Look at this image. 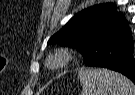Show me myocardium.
<instances>
[{"label":"myocardium","mask_w":135,"mask_h":95,"mask_svg":"<svg viewBox=\"0 0 135 95\" xmlns=\"http://www.w3.org/2000/svg\"><path fill=\"white\" fill-rule=\"evenodd\" d=\"M72 58V50L68 48H60L50 54L46 61V64L50 69H59L68 64L72 60Z\"/></svg>","instance_id":"f54148a6"}]
</instances>
